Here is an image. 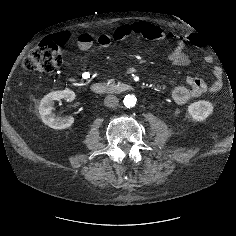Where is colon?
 <instances>
[{
	"instance_id": "obj_1",
	"label": "colon",
	"mask_w": 236,
	"mask_h": 236,
	"mask_svg": "<svg viewBox=\"0 0 236 236\" xmlns=\"http://www.w3.org/2000/svg\"><path fill=\"white\" fill-rule=\"evenodd\" d=\"M64 42L57 36L43 40L32 49L24 59V68L28 71L51 73L58 69L64 60L62 46Z\"/></svg>"
}]
</instances>
